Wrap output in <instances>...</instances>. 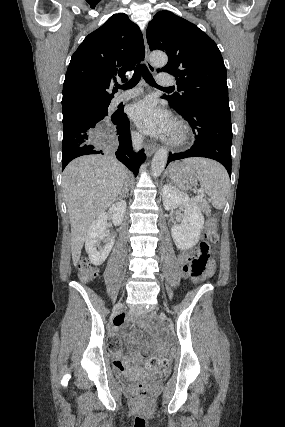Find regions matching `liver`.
I'll return each instance as SVG.
<instances>
[{
  "instance_id": "1",
  "label": "liver",
  "mask_w": 285,
  "mask_h": 427,
  "mask_svg": "<svg viewBox=\"0 0 285 427\" xmlns=\"http://www.w3.org/2000/svg\"><path fill=\"white\" fill-rule=\"evenodd\" d=\"M127 169L114 155H87L70 162L62 189L71 224V252L76 266L90 224L118 199Z\"/></svg>"
}]
</instances>
